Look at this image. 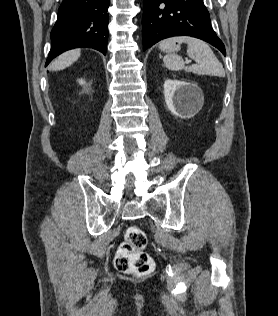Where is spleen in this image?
Returning <instances> with one entry per match:
<instances>
[{
    "instance_id": "spleen-1",
    "label": "spleen",
    "mask_w": 278,
    "mask_h": 316,
    "mask_svg": "<svg viewBox=\"0 0 278 316\" xmlns=\"http://www.w3.org/2000/svg\"><path fill=\"white\" fill-rule=\"evenodd\" d=\"M183 42L188 44L187 54L196 61V64L187 67L182 58L178 55H166L163 58V62L169 70H185L200 75L209 74L219 77L225 76V70L222 63L217 59L211 48L204 41L188 36L171 37L163 40L159 47L164 51L170 49L176 43L180 44Z\"/></svg>"
}]
</instances>
